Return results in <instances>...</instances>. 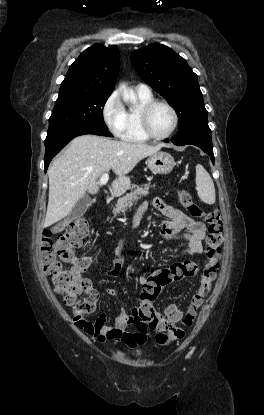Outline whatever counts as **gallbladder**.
<instances>
[{"label":"gallbladder","mask_w":264,"mask_h":415,"mask_svg":"<svg viewBox=\"0 0 264 415\" xmlns=\"http://www.w3.org/2000/svg\"><path fill=\"white\" fill-rule=\"evenodd\" d=\"M92 205V200L88 196H83L79 199V201L75 204L71 212L69 213L67 219L68 220H76L83 216L89 206Z\"/></svg>","instance_id":"gallbladder-1"}]
</instances>
